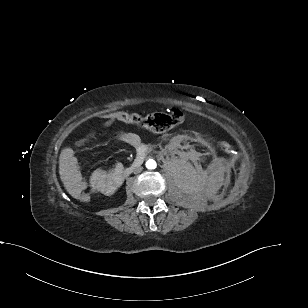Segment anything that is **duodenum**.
I'll list each match as a JSON object with an SVG mask.
<instances>
[{
  "label": "duodenum",
  "instance_id": "1",
  "mask_svg": "<svg viewBox=\"0 0 308 308\" xmlns=\"http://www.w3.org/2000/svg\"><path fill=\"white\" fill-rule=\"evenodd\" d=\"M147 150L146 149H140L138 152L137 157L135 160L132 162L130 166H128L123 172L120 174V180L122 181L124 178L128 177L135 168L139 167L142 165L144 156L146 154Z\"/></svg>",
  "mask_w": 308,
  "mask_h": 308
}]
</instances>
